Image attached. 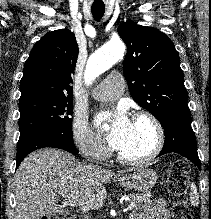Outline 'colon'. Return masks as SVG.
Here are the masks:
<instances>
[{
  "label": "colon",
  "mask_w": 211,
  "mask_h": 219,
  "mask_svg": "<svg viewBox=\"0 0 211 219\" xmlns=\"http://www.w3.org/2000/svg\"><path fill=\"white\" fill-rule=\"evenodd\" d=\"M189 165L184 161H177L167 172L166 185L169 192V202L173 219H192L191 209L187 202ZM42 219H69L55 215L45 216Z\"/></svg>",
  "instance_id": "1"
}]
</instances>
